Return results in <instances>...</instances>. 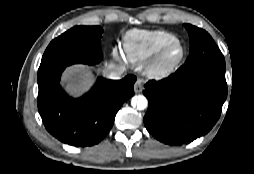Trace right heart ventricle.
I'll list each match as a JSON object with an SVG mask.
<instances>
[{
	"label": "right heart ventricle",
	"mask_w": 254,
	"mask_h": 174,
	"mask_svg": "<svg viewBox=\"0 0 254 174\" xmlns=\"http://www.w3.org/2000/svg\"><path fill=\"white\" fill-rule=\"evenodd\" d=\"M176 39L173 33L165 30H130L123 37L124 55L132 63H143Z\"/></svg>",
	"instance_id": "right-heart-ventricle-1"
}]
</instances>
